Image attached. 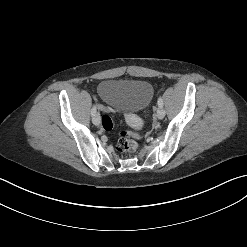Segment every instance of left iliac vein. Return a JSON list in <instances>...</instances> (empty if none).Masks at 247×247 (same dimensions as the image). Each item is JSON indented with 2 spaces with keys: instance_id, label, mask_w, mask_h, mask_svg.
I'll return each instance as SVG.
<instances>
[{
  "instance_id": "left-iliac-vein-1",
  "label": "left iliac vein",
  "mask_w": 247,
  "mask_h": 247,
  "mask_svg": "<svg viewBox=\"0 0 247 247\" xmlns=\"http://www.w3.org/2000/svg\"><path fill=\"white\" fill-rule=\"evenodd\" d=\"M165 116V110L163 109V107H158L157 109V118L158 119H163Z\"/></svg>"
}]
</instances>
